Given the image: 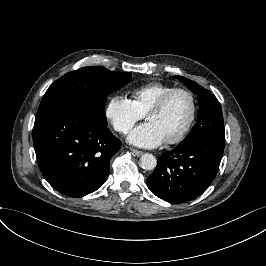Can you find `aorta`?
Masks as SVG:
<instances>
[{
	"instance_id": "762f6f07",
	"label": "aorta",
	"mask_w": 266,
	"mask_h": 266,
	"mask_svg": "<svg viewBox=\"0 0 266 266\" xmlns=\"http://www.w3.org/2000/svg\"><path fill=\"white\" fill-rule=\"evenodd\" d=\"M141 167L147 171H152L157 166V159L152 154H143L140 158Z\"/></svg>"
}]
</instances>
